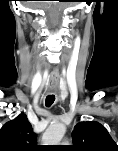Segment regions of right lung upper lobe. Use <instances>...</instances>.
<instances>
[{
  "instance_id": "cb5924a9",
  "label": "right lung upper lobe",
  "mask_w": 118,
  "mask_h": 151,
  "mask_svg": "<svg viewBox=\"0 0 118 151\" xmlns=\"http://www.w3.org/2000/svg\"><path fill=\"white\" fill-rule=\"evenodd\" d=\"M37 138L22 113L0 129V151H34L37 150Z\"/></svg>"
}]
</instances>
